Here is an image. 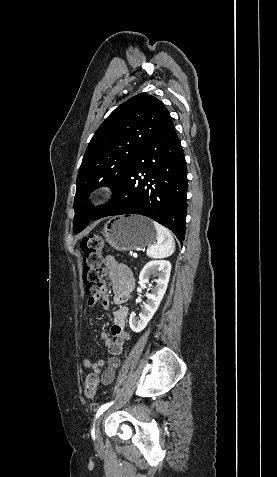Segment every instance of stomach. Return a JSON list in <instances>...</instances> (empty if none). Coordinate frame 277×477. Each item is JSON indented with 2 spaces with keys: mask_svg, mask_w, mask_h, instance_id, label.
<instances>
[{
  "mask_svg": "<svg viewBox=\"0 0 277 477\" xmlns=\"http://www.w3.org/2000/svg\"><path fill=\"white\" fill-rule=\"evenodd\" d=\"M103 235L115 250L131 251L154 242L156 231L150 219L127 215L110 218L103 228Z\"/></svg>",
  "mask_w": 277,
  "mask_h": 477,
  "instance_id": "1",
  "label": "stomach"
}]
</instances>
